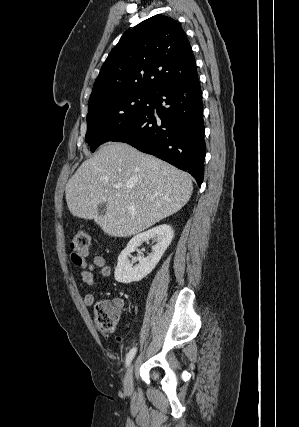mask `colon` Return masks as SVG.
<instances>
[{"label": "colon", "instance_id": "obj_1", "mask_svg": "<svg viewBox=\"0 0 299 427\" xmlns=\"http://www.w3.org/2000/svg\"><path fill=\"white\" fill-rule=\"evenodd\" d=\"M71 256L75 262H82L91 254V238L86 230L78 231L71 240ZM94 319L97 329L104 334L115 331L120 318L117 304L100 300L94 305Z\"/></svg>", "mask_w": 299, "mask_h": 427}]
</instances>
